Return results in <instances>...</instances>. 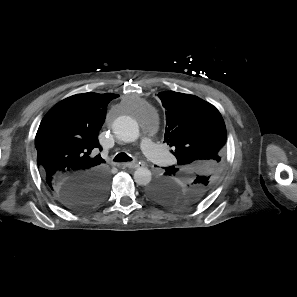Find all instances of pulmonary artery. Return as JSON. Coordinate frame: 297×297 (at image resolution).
<instances>
[{"label":"pulmonary artery","mask_w":297,"mask_h":297,"mask_svg":"<svg viewBox=\"0 0 297 297\" xmlns=\"http://www.w3.org/2000/svg\"><path fill=\"white\" fill-rule=\"evenodd\" d=\"M141 148L147 157H149L151 160L158 164L168 165L173 161L171 156L166 152V150L163 147L153 143L148 138L142 139Z\"/></svg>","instance_id":"pulmonary-artery-1"}]
</instances>
